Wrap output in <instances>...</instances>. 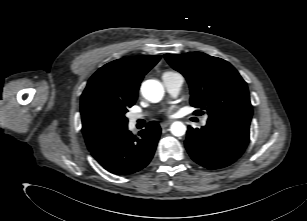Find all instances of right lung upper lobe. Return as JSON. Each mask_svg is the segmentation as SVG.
Segmentation results:
<instances>
[{
	"label": "right lung upper lobe",
	"instance_id": "right-lung-upper-lobe-1",
	"mask_svg": "<svg viewBox=\"0 0 307 221\" xmlns=\"http://www.w3.org/2000/svg\"><path fill=\"white\" fill-rule=\"evenodd\" d=\"M160 58V55H147L118 59L101 67L89 79L81 96L82 132L89 150L105 139L99 137L91 128L92 102L103 98L134 104L144 75Z\"/></svg>",
	"mask_w": 307,
	"mask_h": 221
}]
</instances>
